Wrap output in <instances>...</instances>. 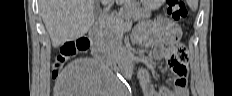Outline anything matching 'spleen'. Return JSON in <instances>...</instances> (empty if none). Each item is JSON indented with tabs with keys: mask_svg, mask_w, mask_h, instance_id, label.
<instances>
[{
	"mask_svg": "<svg viewBox=\"0 0 232 96\" xmlns=\"http://www.w3.org/2000/svg\"><path fill=\"white\" fill-rule=\"evenodd\" d=\"M187 4L193 11H196L198 8V0H187Z\"/></svg>",
	"mask_w": 232,
	"mask_h": 96,
	"instance_id": "3e777b00",
	"label": "spleen"
}]
</instances>
